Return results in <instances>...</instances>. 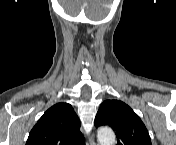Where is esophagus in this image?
<instances>
[{"instance_id": "obj_1", "label": "esophagus", "mask_w": 176, "mask_h": 145, "mask_svg": "<svg viewBox=\"0 0 176 145\" xmlns=\"http://www.w3.org/2000/svg\"><path fill=\"white\" fill-rule=\"evenodd\" d=\"M89 145H98V143L95 142L93 135H91V137H90Z\"/></svg>"}]
</instances>
